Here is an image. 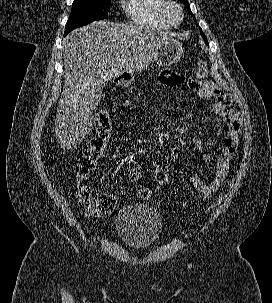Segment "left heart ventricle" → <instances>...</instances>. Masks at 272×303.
I'll return each mask as SVG.
<instances>
[{
	"instance_id": "b2bd125f",
	"label": "left heart ventricle",
	"mask_w": 272,
	"mask_h": 303,
	"mask_svg": "<svg viewBox=\"0 0 272 303\" xmlns=\"http://www.w3.org/2000/svg\"><path fill=\"white\" fill-rule=\"evenodd\" d=\"M169 17L171 20L176 21L178 19V14L175 9H170L169 10Z\"/></svg>"
}]
</instances>
